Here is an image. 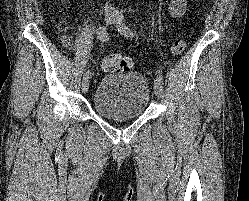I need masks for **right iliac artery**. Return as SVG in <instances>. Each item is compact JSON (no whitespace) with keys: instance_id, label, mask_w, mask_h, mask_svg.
<instances>
[{"instance_id":"1","label":"right iliac artery","mask_w":249,"mask_h":201,"mask_svg":"<svg viewBox=\"0 0 249 201\" xmlns=\"http://www.w3.org/2000/svg\"><path fill=\"white\" fill-rule=\"evenodd\" d=\"M98 39L102 42H107L109 40V34L105 27H100L98 31ZM92 75L91 71H86L84 73V78H90Z\"/></svg>"}]
</instances>
